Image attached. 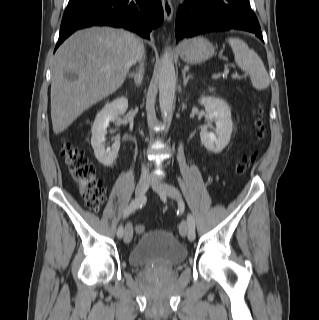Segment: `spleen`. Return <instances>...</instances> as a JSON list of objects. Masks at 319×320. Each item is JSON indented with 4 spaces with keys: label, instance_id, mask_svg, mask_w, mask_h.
<instances>
[{
    "label": "spleen",
    "instance_id": "obj_1",
    "mask_svg": "<svg viewBox=\"0 0 319 320\" xmlns=\"http://www.w3.org/2000/svg\"><path fill=\"white\" fill-rule=\"evenodd\" d=\"M227 41L234 53L236 64L250 75L253 87L257 90L266 89L270 79L259 55L242 39L232 37Z\"/></svg>",
    "mask_w": 319,
    "mask_h": 320
}]
</instances>
